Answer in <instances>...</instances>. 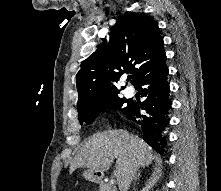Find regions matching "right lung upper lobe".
Returning <instances> with one entry per match:
<instances>
[{"mask_svg":"<svg viewBox=\"0 0 221 191\" xmlns=\"http://www.w3.org/2000/svg\"><path fill=\"white\" fill-rule=\"evenodd\" d=\"M164 53L163 39L153 17L129 12L122 15L111 30L109 43H101L81 63L76 75L78 112L117 96L119 91L110 81H118L124 72L132 74L131 83L135 85Z\"/></svg>","mask_w":221,"mask_h":191,"instance_id":"cb5924a9","label":"right lung upper lobe"}]
</instances>
